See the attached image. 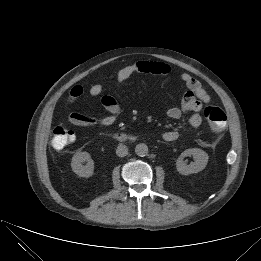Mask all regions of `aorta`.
<instances>
[{
	"label": "aorta",
	"mask_w": 261,
	"mask_h": 261,
	"mask_svg": "<svg viewBox=\"0 0 261 261\" xmlns=\"http://www.w3.org/2000/svg\"><path fill=\"white\" fill-rule=\"evenodd\" d=\"M135 153L140 156H146L148 154V146L144 143H139L135 147Z\"/></svg>",
	"instance_id": "aorta-1"
}]
</instances>
